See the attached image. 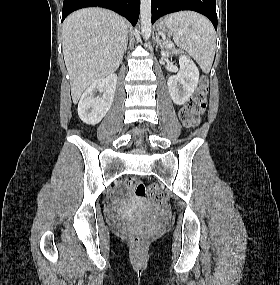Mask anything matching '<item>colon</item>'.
I'll return each mask as SVG.
<instances>
[{"mask_svg":"<svg viewBox=\"0 0 280 285\" xmlns=\"http://www.w3.org/2000/svg\"><path fill=\"white\" fill-rule=\"evenodd\" d=\"M208 80L202 76L199 85L193 96L187 101L180 112V118L186 127H195L200 122V117L207 106ZM126 187L135 192L139 197L148 195L155 204H161L164 194L155 186H147L145 183L134 178L126 180ZM133 244L141 245L145 238L141 234H136L131 238Z\"/></svg>","mask_w":280,"mask_h":285,"instance_id":"obj_1","label":"colon"}]
</instances>
